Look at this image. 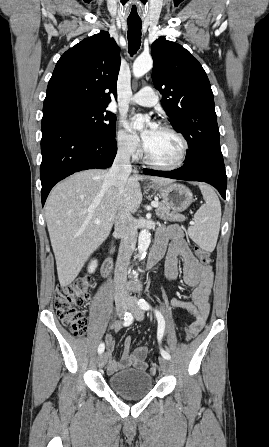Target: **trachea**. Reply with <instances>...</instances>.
<instances>
[{"mask_svg":"<svg viewBox=\"0 0 269 447\" xmlns=\"http://www.w3.org/2000/svg\"><path fill=\"white\" fill-rule=\"evenodd\" d=\"M129 53L135 54L141 45V22H127Z\"/></svg>","mask_w":269,"mask_h":447,"instance_id":"1","label":"trachea"}]
</instances>
